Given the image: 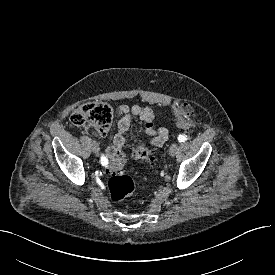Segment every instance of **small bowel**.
I'll use <instances>...</instances> for the list:
<instances>
[{"label":"small bowel","mask_w":275,"mask_h":275,"mask_svg":"<svg viewBox=\"0 0 275 275\" xmlns=\"http://www.w3.org/2000/svg\"><path fill=\"white\" fill-rule=\"evenodd\" d=\"M119 120L117 122V133L114 136L113 144L107 146L104 150L105 157L111 161L123 157L125 146V132L130 128L132 118H137L143 128V132L150 138V143L154 147H161L168 139V130L164 127L155 128L154 113L148 107L140 105H121L118 107ZM101 133V132H100ZM104 135L105 133H101Z\"/></svg>","instance_id":"small-bowel-1"}]
</instances>
